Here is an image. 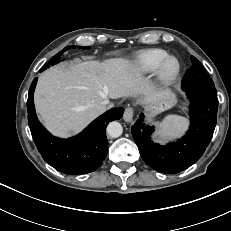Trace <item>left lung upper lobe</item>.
Here are the masks:
<instances>
[{
	"label": "left lung upper lobe",
	"mask_w": 231,
	"mask_h": 231,
	"mask_svg": "<svg viewBox=\"0 0 231 231\" xmlns=\"http://www.w3.org/2000/svg\"><path fill=\"white\" fill-rule=\"evenodd\" d=\"M191 61L192 67L186 72L182 80V88H197L216 93L214 82L206 73L200 62L194 56H191Z\"/></svg>",
	"instance_id": "obj_1"
}]
</instances>
